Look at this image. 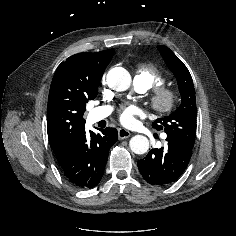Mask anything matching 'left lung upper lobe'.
Returning <instances> with one entry per match:
<instances>
[{
    "instance_id": "obj_1",
    "label": "left lung upper lobe",
    "mask_w": 236,
    "mask_h": 236,
    "mask_svg": "<svg viewBox=\"0 0 236 236\" xmlns=\"http://www.w3.org/2000/svg\"><path fill=\"white\" fill-rule=\"evenodd\" d=\"M167 66L175 75L181 94V105L169 116L159 118L152 126L164 130L167 139L192 150L196 137V98L192 77L184 63L166 46H158Z\"/></svg>"
}]
</instances>
